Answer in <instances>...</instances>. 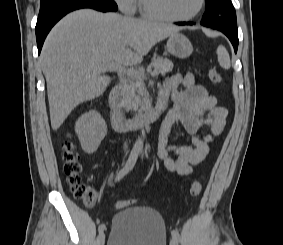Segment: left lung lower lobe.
Here are the masks:
<instances>
[{
  "mask_svg": "<svg viewBox=\"0 0 283 245\" xmlns=\"http://www.w3.org/2000/svg\"><path fill=\"white\" fill-rule=\"evenodd\" d=\"M176 24L177 25H192L193 23L192 22H178ZM206 27H208V26H206ZM211 28H214V29H217V30H220L221 32H223L229 38V40L231 41V43L234 47L235 53L237 52L238 33L229 32V31L222 29V28H216V27H211Z\"/></svg>",
  "mask_w": 283,
  "mask_h": 245,
  "instance_id": "left-lung-lower-lobe-1",
  "label": "left lung lower lobe"
}]
</instances>
